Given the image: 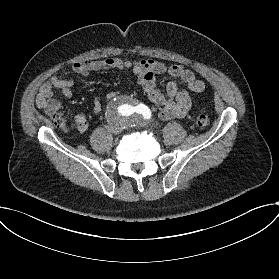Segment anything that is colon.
I'll list each match as a JSON object with an SVG mask.
<instances>
[{
    "label": "colon",
    "instance_id": "5ec220e1",
    "mask_svg": "<svg viewBox=\"0 0 279 279\" xmlns=\"http://www.w3.org/2000/svg\"><path fill=\"white\" fill-rule=\"evenodd\" d=\"M55 125L58 127L68 130L70 123H68L63 117L55 115L52 118ZM196 125L200 129H204L209 125V116L206 112H198L196 114Z\"/></svg>",
    "mask_w": 279,
    "mask_h": 279
}]
</instances>
